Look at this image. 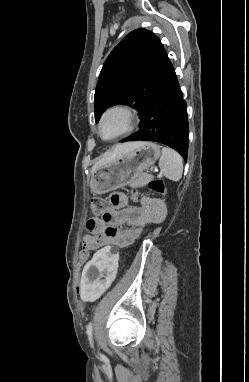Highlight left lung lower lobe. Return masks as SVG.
<instances>
[{"instance_id": "left-lung-lower-lobe-1", "label": "left lung lower lobe", "mask_w": 249, "mask_h": 382, "mask_svg": "<svg viewBox=\"0 0 249 382\" xmlns=\"http://www.w3.org/2000/svg\"><path fill=\"white\" fill-rule=\"evenodd\" d=\"M188 130L186 102L171 67L141 117L139 131L121 142H159L175 149L187 160Z\"/></svg>"}]
</instances>
